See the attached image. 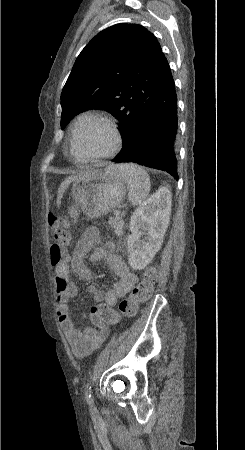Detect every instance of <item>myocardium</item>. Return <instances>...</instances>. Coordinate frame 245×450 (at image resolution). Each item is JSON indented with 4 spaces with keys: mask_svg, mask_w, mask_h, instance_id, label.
Wrapping results in <instances>:
<instances>
[{
    "mask_svg": "<svg viewBox=\"0 0 245 450\" xmlns=\"http://www.w3.org/2000/svg\"><path fill=\"white\" fill-rule=\"evenodd\" d=\"M94 124H104L111 130V132L113 133V137H114L113 146L110 149V151H108L105 154L96 155V156H84L77 152L76 140H77L78 134H79L80 130L82 129V127H84L86 125H94ZM122 144H123V137H122V133L120 131L118 124L116 123V121L113 118L105 116V115H95L94 117H92L88 120L76 121L71 129L70 150L74 154V156L80 160L109 159V158L115 156L120 151Z\"/></svg>",
    "mask_w": 245,
    "mask_h": 450,
    "instance_id": "obj_1",
    "label": "myocardium"
}]
</instances>
